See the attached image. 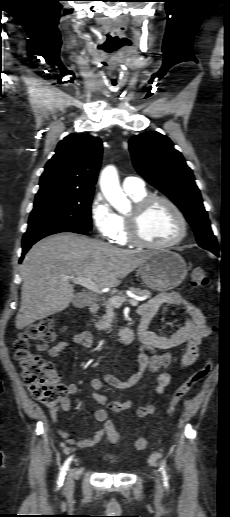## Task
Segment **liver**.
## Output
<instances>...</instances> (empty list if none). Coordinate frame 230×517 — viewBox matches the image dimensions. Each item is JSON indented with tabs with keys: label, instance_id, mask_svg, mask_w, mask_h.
<instances>
[{
	"label": "liver",
	"instance_id": "liver-1",
	"mask_svg": "<svg viewBox=\"0 0 230 517\" xmlns=\"http://www.w3.org/2000/svg\"><path fill=\"white\" fill-rule=\"evenodd\" d=\"M149 255L148 251L122 249L72 233L40 240L21 266L23 284L16 328L22 330L66 309L76 297L68 278H90L100 287H117Z\"/></svg>",
	"mask_w": 230,
	"mask_h": 517
}]
</instances>
